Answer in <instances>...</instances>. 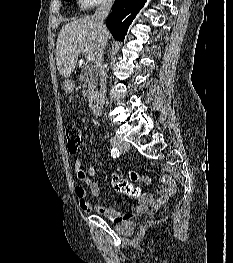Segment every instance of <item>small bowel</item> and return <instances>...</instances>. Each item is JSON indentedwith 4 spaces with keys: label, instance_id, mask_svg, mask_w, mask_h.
<instances>
[{
    "label": "small bowel",
    "instance_id": "small-bowel-1",
    "mask_svg": "<svg viewBox=\"0 0 233 263\" xmlns=\"http://www.w3.org/2000/svg\"><path fill=\"white\" fill-rule=\"evenodd\" d=\"M75 173L77 179L83 183L90 191V193L98 197L100 196V188L98 184L92 179L95 175V169L88 167L84 169L80 160L75 162ZM124 175V174H123ZM146 182H151L150 178L145 179ZM160 185L157 188L158 197L153 198L148 193H138L139 205L132 212H121L113 207H107L102 205H92L87 201V192L83 186L77 185L74 188L75 196L79 202L80 208L86 212L91 213L93 211L104 216L113 223H120L131 219L135 214L142 213L146 210L156 211L160 209L169 198L176 191V184L174 179L170 175H163L158 179Z\"/></svg>",
    "mask_w": 233,
    "mask_h": 263
}]
</instances>
